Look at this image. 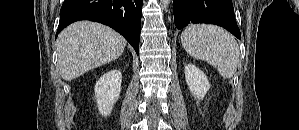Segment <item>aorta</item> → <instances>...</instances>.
<instances>
[{"label": "aorta", "mask_w": 299, "mask_h": 130, "mask_svg": "<svg viewBox=\"0 0 299 130\" xmlns=\"http://www.w3.org/2000/svg\"><path fill=\"white\" fill-rule=\"evenodd\" d=\"M160 2L163 7H167L170 1L169 0H161Z\"/></svg>", "instance_id": "762f6f07"}]
</instances>
